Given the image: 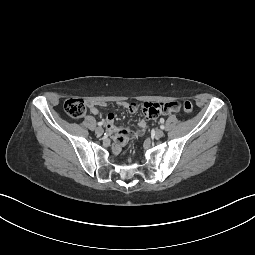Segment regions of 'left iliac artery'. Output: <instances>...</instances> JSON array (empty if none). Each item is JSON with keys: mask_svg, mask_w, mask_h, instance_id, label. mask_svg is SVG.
Segmentation results:
<instances>
[{"mask_svg": "<svg viewBox=\"0 0 255 255\" xmlns=\"http://www.w3.org/2000/svg\"><path fill=\"white\" fill-rule=\"evenodd\" d=\"M165 127H164V125H161V129H164Z\"/></svg>", "mask_w": 255, "mask_h": 255, "instance_id": "44dca946", "label": "left iliac artery"}]
</instances>
